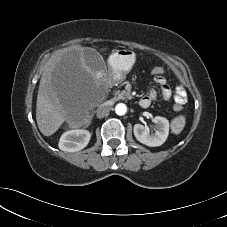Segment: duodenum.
<instances>
[{"mask_svg":"<svg viewBox=\"0 0 227 227\" xmlns=\"http://www.w3.org/2000/svg\"><path fill=\"white\" fill-rule=\"evenodd\" d=\"M139 105H140L141 107H143V108L148 107V103H147L146 101L142 100V99H140Z\"/></svg>","mask_w":227,"mask_h":227,"instance_id":"obj_1","label":"duodenum"}]
</instances>
